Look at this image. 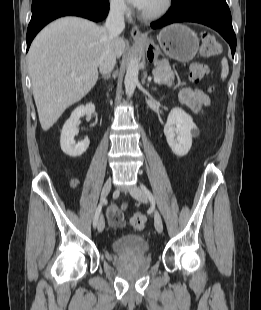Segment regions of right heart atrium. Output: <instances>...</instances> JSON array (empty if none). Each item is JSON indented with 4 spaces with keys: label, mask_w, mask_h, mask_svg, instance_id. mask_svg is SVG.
Wrapping results in <instances>:
<instances>
[{
    "label": "right heart atrium",
    "mask_w": 261,
    "mask_h": 310,
    "mask_svg": "<svg viewBox=\"0 0 261 310\" xmlns=\"http://www.w3.org/2000/svg\"><path fill=\"white\" fill-rule=\"evenodd\" d=\"M110 11L116 16H126L128 14V6L125 0H109Z\"/></svg>",
    "instance_id": "obj_1"
}]
</instances>
